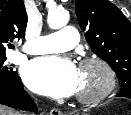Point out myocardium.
Returning <instances> with one entry per match:
<instances>
[{"instance_id": "myocardium-1", "label": "myocardium", "mask_w": 131, "mask_h": 115, "mask_svg": "<svg viewBox=\"0 0 131 115\" xmlns=\"http://www.w3.org/2000/svg\"><path fill=\"white\" fill-rule=\"evenodd\" d=\"M98 66L105 75V83L100 90L92 94H78L76 99L82 104H93L97 103L107 96H109L116 86V74L112 66L103 58L98 56H90L81 60L79 67L80 69L89 66Z\"/></svg>"}]
</instances>
